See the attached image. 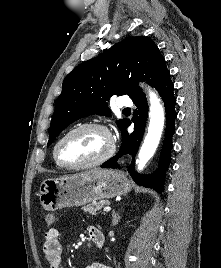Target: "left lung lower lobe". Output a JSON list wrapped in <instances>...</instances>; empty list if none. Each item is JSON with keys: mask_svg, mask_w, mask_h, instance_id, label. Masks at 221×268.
I'll use <instances>...</instances> for the list:
<instances>
[{"mask_svg": "<svg viewBox=\"0 0 221 268\" xmlns=\"http://www.w3.org/2000/svg\"><path fill=\"white\" fill-rule=\"evenodd\" d=\"M159 95L162 97L165 111H166V134L164 143L162 146V152L160 155L159 167L156 173L150 176L139 175L135 172L133 167V163L128 167V171L131 177L135 180L136 183L145 187L154 188L158 192H162L164 187L165 180V172L170 163V152L172 149V136L175 132V103L176 99L173 94L174 85L168 77L165 79L157 88ZM136 106V109L133 113L132 121L134 122V132L132 134H128L126 128L130 125V121L127 122L122 132V144L119 152L103 163L101 165L102 168H120L117 164V160L125 154H131L132 157L136 155V152L141 143L144 130L146 127V120L148 116V104L146 100V96L142 95L134 100H132Z\"/></svg>", "mask_w": 221, "mask_h": 268, "instance_id": "0a47b994", "label": "left lung lower lobe"}]
</instances>
